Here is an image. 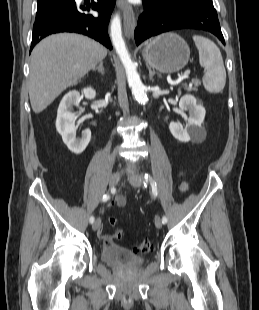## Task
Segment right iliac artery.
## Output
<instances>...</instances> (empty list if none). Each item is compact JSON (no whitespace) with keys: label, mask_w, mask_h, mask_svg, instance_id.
<instances>
[{"label":"right iliac artery","mask_w":259,"mask_h":310,"mask_svg":"<svg viewBox=\"0 0 259 310\" xmlns=\"http://www.w3.org/2000/svg\"><path fill=\"white\" fill-rule=\"evenodd\" d=\"M109 198H110V195L109 194H105V195H103V197H102V201H107V200H109ZM94 217L93 216H91L90 217V219H89V221H90V223L92 224L93 222H94Z\"/></svg>","instance_id":"1"}]
</instances>
